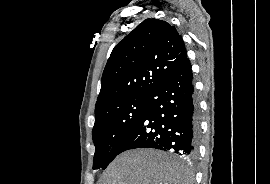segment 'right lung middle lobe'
I'll return each instance as SVG.
<instances>
[{"instance_id": "1", "label": "right lung middle lobe", "mask_w": 270, "mask_h": 184, "mask_svg": "<svg viewBox=\"0 0 270 184\" xmlns=\"http://www.w3.org/2000/svg\"><path fill=\"white\" fill-rule=\"evenodd\" d=\"M147 107V96H138L107 108L95 120L92 131L96 148L93 169H105L118 155L124 141L135 129Z\"/></svg>"}]
</instances>
